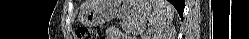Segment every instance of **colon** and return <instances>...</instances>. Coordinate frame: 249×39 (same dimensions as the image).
Here are the masks:
<instances>
[{
    "mask_svg": "<svg viewBox=\"0 0 249 39\" xmlns=\"http://www.w3.org/2000/svg\"><path fill=\"white\" fill-rule=\"evenodd\" d=\"M77 37L79 39H94L95 34L87 26H81L77 29Z\"/></svg>",
    "mask_w": 249,
    "mask_h": 39,
    "instance_id": "colon-1",
    "label": "colon"
}]
</instances>
